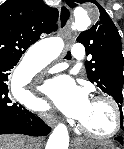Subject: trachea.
<instances>
[{"instance_id": "trachea-1", "label": "trachea", "mask_w": 124, "mask_h": 149, "mask_svg": "<svg viewBox=\"0 0 124 149\" xmlns=\"http://www.w3.org/2000/svg\"><path fill=\"white\" fill-rule=\"evenodd\" d=\"M56 29H57V26L55 27V30H56ZM65 58L68 59V60H70V59H71V53L68 52Z\"/></svg>"}]
</instances>
